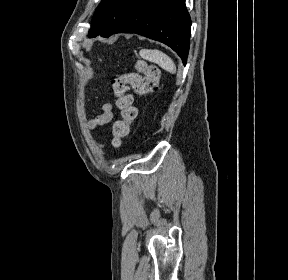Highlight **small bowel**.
I'll use <instances>...</instances> for the list:
<instances>
[{
    "instance_id": "c3829d8e",
    "label": "small bowel",
    "mask_w": 288,
    "mask_h": 280,
    "mask_svg": "<svg viewBox=\"0 0 288 280\" xmlns=\"http://www.w3.org/2000/svg\"><path fill=\"white\" fill-rule=\"evenodd\" d=\"M113 119L112 105L110 103H105L102 106V112L96 118H94L90 123V128H95L96 126H101L109 123Z\"/></svg>"
}]
</instances>
